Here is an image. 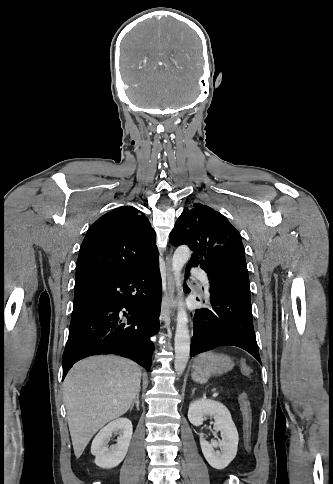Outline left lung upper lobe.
Instances as JSON below:
<instances>
[{"mask_svg":"<svg viewBox=\"0 0 333 484\" xmlns=\"http://www.w3.org/2000/svg\"><path fill=\"white\" fill-rule=\"evenodd\" d=\"M169 237L174 246L186 244L200 258L224 246H236L245 255L239 232L222 214L199 203L183 210Z\"/></svg>","mask_w":333,"mask_h":484,"instance_id":"5c2ea615","label":"left lung upper lobe"}]
</instances>
